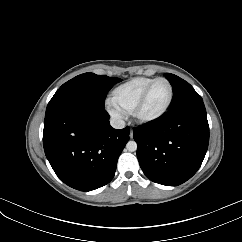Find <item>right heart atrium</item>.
Masks as SVG:
<instances>
[{"instance_id":"d8ad5b80","label":"right heart atrium","mask_w":242,"mask_h":242,"mask_svg":"<svg viewBox=\"0 0 242 242\" xmlns=\"http://www.w3.org/2000/svg\"><path fill=\"white\" fill-rule=\"evenodd\" d=\"M108 110L114 118L119 120L124 118V113L114 105H108Z\"/></svg>"}]
</instances>
